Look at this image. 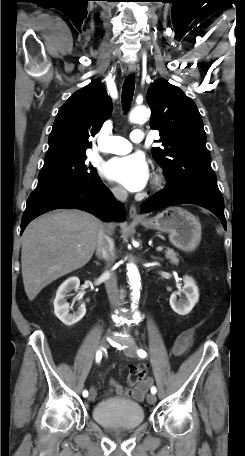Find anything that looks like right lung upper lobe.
<instances>
[{
	"mask_svg": "<svg viewBox=\"0 0 245 456\" xmlns=\"http://www.w3.org/2000/svg\"><path fill=\"white\" fill-rule=\"evenodd\" d=\"M111 112L110 98L99 80L76 91L57 114L43 167L84 156L92 147L88 138L99 132Z\"/></svg>",
	"mask_w": 245,
	"mask_h": 456,
	"instance_id": "right-lung-upper-lobe-1",
	"label": "right lung upper lobe"
}]
</instances>
